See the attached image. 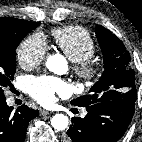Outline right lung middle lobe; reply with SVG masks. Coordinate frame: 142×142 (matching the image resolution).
Listing matches in <instances>:
<instances>
[{
	"label": "right lung middle lobe",
	"mask_w": 142,
	"mask_h": 142,
	"mask_svg": "<svg viewBox=\"0 0 142 142\" xmlns=\"http://www.w3.org/2000/svg\"><path fill=\"white\" fill-rule=\"evenodd\" d=\"M39 23L24 26L7 34L0 35V97L4 96L3 89L11 85L16 72V48L21 40Z\"/></svg>",
	"instance_id": "dd1d6c3e"
}]
</instances>
